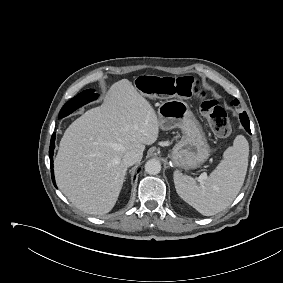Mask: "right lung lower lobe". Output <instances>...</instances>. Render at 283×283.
Masks as SVG:
<instances>
[{"label":"right lung lower lobe","mask_w":283,"mask_h":283,"mask_svg":"<svg viewBox=\"0 0 283 283\" xmlns=\"http://www.w3.org/2000/svg\"><path fill=\"white\" fill-rule=\"evenodd\" d=\"M54 148H55V133H53L51 137L50 142V149H49V157H50V163H51V174H52V181L54 186H56L55 179H54V171H53V154H54ZM140 169H138V172Z\"/></svg>","instance_id":"98d812e1"}]
</instances>
